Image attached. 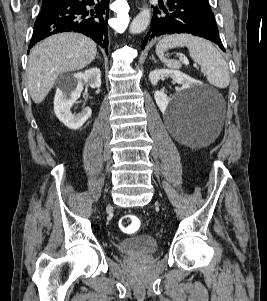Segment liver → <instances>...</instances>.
<instances>
[{
    "mask_svg": "<svg viewBox=\"0 0 267 301\" xmlns=\"http://www.w3.org/2000/svg\"><path fill=\"white\" fill-rule=\"evenodd\" d=\"M95 42L82 34L66 32L52 35L38 43L30 52L28 90L39 104L64 72L81 70L96 57Z\"/></svg>",
    "mask_w": 267,
    "mask_h": 301,
    "instance_id": "obj_1",
    "label": "liver"
}]
</instances>
